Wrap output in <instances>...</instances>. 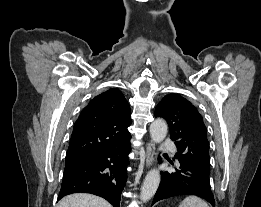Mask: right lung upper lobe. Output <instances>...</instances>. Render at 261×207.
<instances>
[{"label": "right lung upper lobe", "mask_w": 261, "mask_h": 207, "mask_svg": "<svg viewBox=\"0 0 261 207\" xmlns=\"http://www.w3.org/2000/svg\"><path fill=\"white\" fill-rule=\"evenodd\" d=\"M131 110L118 89H110L92 99L74 125L66 153V163L118 148L130 141Z\"/></svg>", "instance_id": "right-lung-upper-lobe-1"}]
</instances>
